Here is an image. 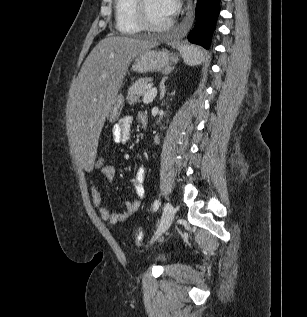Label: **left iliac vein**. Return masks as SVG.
<instances>
[{
	"label": "left iliac vein",
	"mask_w": 307,
	"mask_h": 317,
	"mask_svg": "<svg viewBox=\"0 0 307 317\" xmlns=\"http://www.w3.org/2000/svg\"><path fill=\"white\" fill-rule=\"evenodd\" d=\"M175 216V209L169 202L165 204L161 221L155 234V238L161 236L172 224Z\"/></svg>",
	"instance_id": "1"
}]
</instances>
